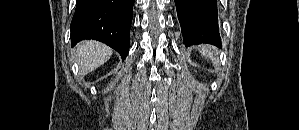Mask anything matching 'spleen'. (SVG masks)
<instances>
[{
  "mask_svg": "<svg viewBox=\"0 0 299 130\" xmlns=\"http://www.w3.org/2000/svg\"><path fill=\"white\" fill-rule=\"evenodd\" d=\"M201 54H202V56H204V57H206V58H210V59H212L213 58V53H212V51H211V47H209V46H203L202 48H201Z\"/></svg>",
  "mask_w": 299,
  "mask_h": 130,
  "instance_id": "obj_1",
  "label": "spleen"
}]
</instances>
